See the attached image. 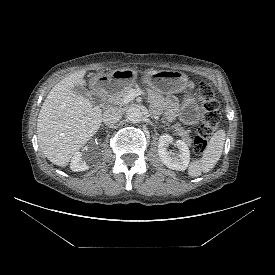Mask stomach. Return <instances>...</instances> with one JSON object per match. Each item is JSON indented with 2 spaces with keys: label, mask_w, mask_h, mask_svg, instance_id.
Wrapping results in <instances>:
<instances>
[{
  "label": "stomach",
  "mask_w": 275,
  "mask_h": 275,
  "mask_svg": "<svg viewBox=\"0 0 275 275\" xmlns=\"http://www.w3.org/2000/svg\"><path fill=\"white\" fill-rule=\"evenodd\" d=\"M137 79V71L132 68L116 69L109 74H99L91 79L94 90L104 94H114L131 86ZM143 82L162 93H177L186 89L187 75L180 71L148 70L143 76ZM201 117L200 106L194 95L188 96L180 110V120L187 125L197 124Z\"/></svg>",
  "instance_id": "1"
}]
</instances>
